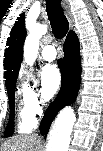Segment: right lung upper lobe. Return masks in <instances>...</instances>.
<instances>
[{
  "label": "right lung upper lobe",
  "instance_id": "1",
  "mask_svg": "<svg viewBox=\"0 0 103 151\" xmlns=\"http://www.w3.org/2000/svg\"><path fill=\"white\" fill-rule=\"evenodd\" d=\"M17 20L7 40L8 47L4 54L5 82L16 80L23 59V43L26 37L24 13Z\"/></svg>",
  "mask_w": 103,
  "mask_h": 151
}]
</instances>
